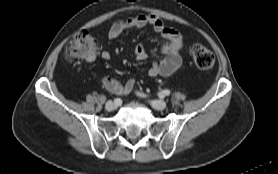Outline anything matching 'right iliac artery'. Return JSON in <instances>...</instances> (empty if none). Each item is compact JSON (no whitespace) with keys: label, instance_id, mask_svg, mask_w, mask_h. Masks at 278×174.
Returning <instances> with one entry per match:
<instances>
[{"label":"right iliac artery","instance_id":"1","mask_svg":"<svg viewBox=\"0 0 278 174\" xmlns=\"http://www.w3.org/2000/svg\"><path fill=\"white\" fill-rule=\"evenodd\" d=\"M114 103H115L116 105H121L122 101H121L120 98H116V99H114Z\"/></svg>","mask_w":278,"mask_h":174}]
</instances>
